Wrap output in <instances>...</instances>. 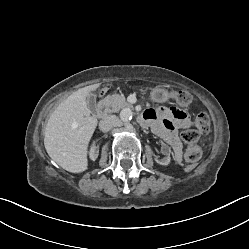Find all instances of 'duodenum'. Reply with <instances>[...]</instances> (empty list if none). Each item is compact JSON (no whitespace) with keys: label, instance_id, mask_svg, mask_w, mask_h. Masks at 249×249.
Listing matches in <instances>:
<instances>
[{"label":"duodenum","instance_id":"1","mask_svg":"<svg viewBox=\"0 0 249 249\" xmlns=\"http://www.w3.org/2000/svg\"><path fill=\"white\" fill-rule=\"evenodd\" d=\"M107 113V99L106 98H103L100 100L98 106H97V109H96V114L98 117H103L105 116ZM141 122L144 124V125H147L148 122L142 118L141 119Z\"/></svg>","mask_w":249,"mask_h":249}]
</instances>
